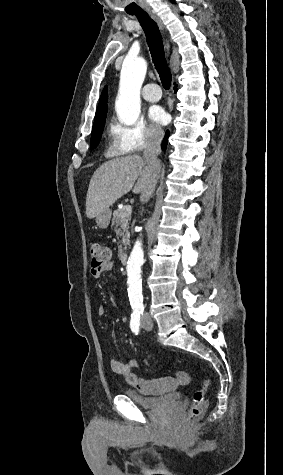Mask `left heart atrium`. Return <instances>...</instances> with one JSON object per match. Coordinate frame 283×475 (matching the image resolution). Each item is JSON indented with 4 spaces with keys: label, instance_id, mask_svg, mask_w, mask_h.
I'll list each match as a JSON object with an SVG mask.
<instances>
[{
    "label": "left heart atrium",
    "instance_id": "39dd6f15",
    "mask_svg": "<svg viewBox=\"0 0 283 475\" xmlns=\"http://www.w3.org/2000/svg\"><path fill=\"white\" fill-rule=\"evenodd\" d=\"M149 118L156 125H164L168 120L167 113L161 107H154L150 109Z\"/></svg>",
    "mask_w": 283,
    "mask_h": 475
}]
</instances>
